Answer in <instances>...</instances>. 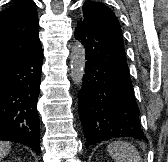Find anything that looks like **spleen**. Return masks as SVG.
Here are the masks:
<instances>
[{"mask_svg":"<svg viewBox=\"0 0 168 162\" xmlns=\"http://www.w3.org/2000/svg\"><path fill=\"white\" fill-rule=\"evenodd\" d=\"M107 151L115 162H142L135 146L125 141L111 143L108 145Z\"/></svg>","mask_w":168,"mask_h":162,"instance_id":"3e777b00","label":"spleen"}]
</instances>
